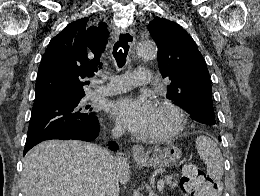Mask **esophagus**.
<instances>
[{
    "label": "esophagus",
    "mask_w": 260,
    "mask_h": 196,
    "mask_svg": "<svg viewBox=\"0 0 260 196\" xmlns=\"http://www.w3.org/2000/svg\"><path fill=\"white\" fill-rule=\"evenodd\" d=\"M120 33L121 32L119 31L117 36H119ZM122 34L126 35L129 45H133L135 43V37H134L133 32L128 31V30H122ZM127 34H128V36H127ZM132 156L136 160L147 158V154L145 153L144 148L141 145H134L132 147Z\"/></svg>",
    "instance_id": "esophagus-1"
}]
</instances>
